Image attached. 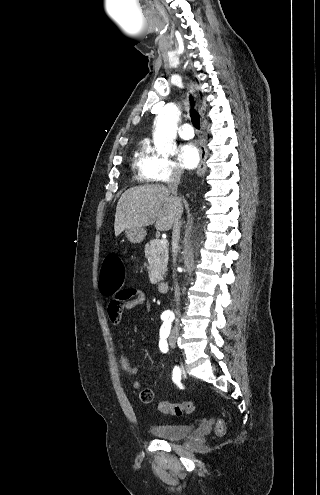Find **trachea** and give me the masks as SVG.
<instances>
[{"label":"trachea","mask_w":320,"mask_h":495,"mask_svg":"<svg viewBox=\"0 0 320 495\" xmlns=\"http://www.w3.org/2000/svg\"><path fill=\"white\" fill-rule=\"evenodd\" d=\"M190 104H191L190 117H191L192 123H193L195 128L199 129L200 128V116L194 108V100H193L192 96H190Z\"/></svg>","instance_id":"trachea-1"}]
</instances>
